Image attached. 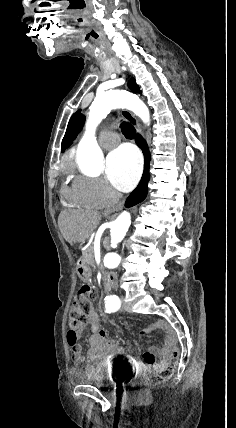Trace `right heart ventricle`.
<instances>
[{"label": "right heart ventricle", "instance_id": "right-heart-ventricle-1", "mask_svg": "<svg viewBox=\"0 0 236 428\" xmlns=\"http://www.w3.org/2000/svg\"><path fill=\"white\" fill-rule=\"evenodd\" d=\"M65 168L67 169V171H68L69 173L73 172V171H74V168H75V162H73V161H69V162H67V163L65 164ZM62 193H63L66 197H68V198H70V199H73V200H75V201H79V202H80L83 206H85V207L96 208V207H94V206H91V205H88V204H86V203L82 202V201L78 198V196L76 195L75 191H74V190H72V189H69L68 187H64V188L62 189Z\"/></svg>", "mask_w": 236, "mask_h": 428}]
</instances>
